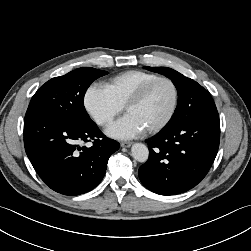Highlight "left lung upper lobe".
I'll use <instances>...</instances> for the list:
<instances>
[{
	"instance_id": "left-lung-upper-lobe-1",
	"label": "left lung upper lobe",
	"mask_w": 251,
	"mask_h": 251,
	"mask_svg": "<svg viewBox=\"0 0 251 251\" xmlns=\"http://www.w3.org/2000/svg\"><path fill=\"white\" fill-rule=\"evenodd\" d=\"M144 68L149 71L157 72L170 78L177 89L178 92L177 107L171 120L165 126V128L171 127L182 117L181 108L183 107V104L187 103L188 99L192 97V94L196 93L197 91H203L205 89L194 80L185 77L184 75L180 74L179 72L171 68L148 67V66H145Z\"/></svg>"
}]
</instances>
